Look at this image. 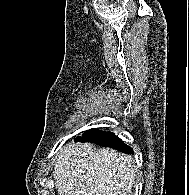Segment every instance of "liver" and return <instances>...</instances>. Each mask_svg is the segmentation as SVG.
<instances>
[{
	"label": "liver",
	"mask_w": 189,
	"mask_h": 195,
	"mask_svg": "<svg viewBox=\"0 0 189 195\" xmlns=\"http://www.w3.org/2000/svg\"><path fill=\"white\" fill-rule=\"evenodd\" d=\"M59 195H131L134 162L109 148L89 143L68 144L54 167Z\"/></svg>",
	"instance_id": "obj_1"
}]
</instances>
